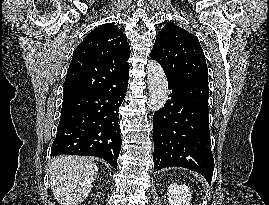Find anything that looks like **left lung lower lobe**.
Returning a JSON list of instances; mask_svg holds the SVG:
<instances>
[{
    "instance_id": "obj_1",
    "label": "left lung lower lobe",
    "mask_w": 269,
    "mask_h": 205,
    "mask_svg": "<svg viewBox=\"0 0 269 205\" xmlns=\"http://www.w3.org/2000/svg\"><path fill=\"white\" fill-rule=\"evenodd\" d=\"M172 91L154 113V170L178 166L203 175L210 184L214 159L208 120V83L168 79Z\"/></svg>"
}]
</instances>
